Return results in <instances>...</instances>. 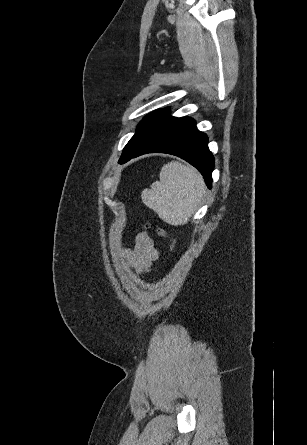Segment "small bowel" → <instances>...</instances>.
I'll list each match as a JSON object with an SVG mask.
<instances>
[{"label": "small bowel", "instance_id": "1", "mask_svg": "<svg viewBox=\"0 0 307 445\" xmlns=\"http://www.w3.org/2000/svg\"><path fill=\"white\" fill-rule=\"evenodd\" d=\"M126 257L137 273H147L159 257V251L146 232L139 233L135 238L133 249L125 250Z\"/></svg>", "mask_w": 307, "mask_h": 445}]
</instances>
